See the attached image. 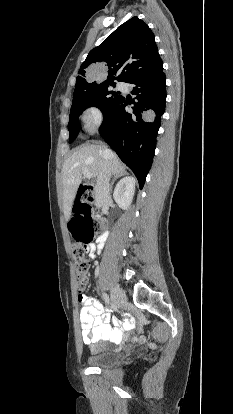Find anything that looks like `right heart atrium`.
I'll list each match as a JSON object with an SVG mask.
<instances>
[{
    "instance_id": "obj_1",
    "label": "right heart atrium",
    "mask_w": 233,
    "mask_h": 414,
    "mask_svg": "<svg viewBox=\"0 0 233 414\" xmlns=\"http://www.w3.org/2000/svg\"><path fill=\"white\" fill-rule=\"evenodd\" d=\"M103 120V113L97 106H89L82 113V121L86 128L94 131Z\"/></svg>"
}]
</instances>
